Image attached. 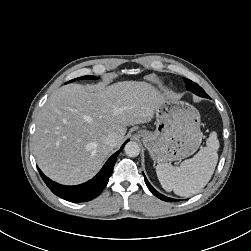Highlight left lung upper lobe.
Here are the masks:
<instances>
[{
	"instance_id": "obj_1",
	"label": "left lung upper lobe",
	"mask_w": 251,
	"mask_h": 251,
	"mask_svg": "<svg viewBox=\"0 0 251 251\" xmlns=\"http://www.w3.org/2000/svg\"><path fill=\"white\" fill-rule=\"evenodd\" d=\"M184 82L186 84V88L188 91L193 92L194 94L200 96V97H204V98H210L206 92L196 83L192 82L189 79H185L184 78Z\"/></svg>"
}]
</instances>
